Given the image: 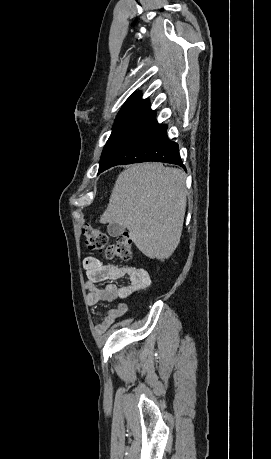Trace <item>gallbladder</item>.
Listing matches in <instances>:
<instances>
[{
	"instance_id": "bac80fb5",
	"label": "gallbladder",
	"mask_w": 271,
	"mask_h": 459,
	"mask_svg": "<svg viewBox=\"0 0 271 459\" xmlns=\"http://www.w3.org/2000/svg\"><path fill=\"white\" fill-rule=\"evenodd\" d=\"M107 231L112 237H117V235H121V233L125 231V226H120V224H108Z\"/></svg>"
}]
</instances>
